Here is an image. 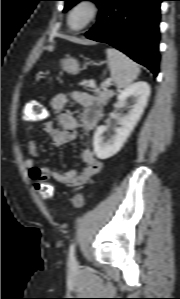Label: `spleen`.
Segmentation results:
<instances>
[{
  "mask_svg": "<svg viewBox=\"0 0 180 299\" xmlns=\"http://www.w3.org/2000/svg\"><path fill=\"white\" fill-rule=\"evenodd\" d=\"M108 67L115 85L126 88L139 75L140 69L133 60L115 48L106 49Z\"/></svg>",
  "mask_w": 180,
  "mask_h": 299,
  "instance_id": "obj_1",
  "label": "spleen"
}]
</instances>
